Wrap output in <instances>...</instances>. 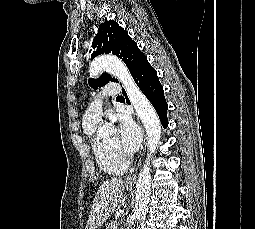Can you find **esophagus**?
I'll return each mask as SVG.
<instances>
[{"label": "esophagus", "instance_id": "esophagus-1", "mask_svg": "<svg viewBox=\"0 0 255 229\" xmlns=\"http://www.w3.org/2000/svg\"><path fill=\"white\" fill-rule=\"evenodd\" d=\"M143 144H144V151H145V147H146V135H145V134H144V142H143ZM144 151H143V154H142V155H144ZM140 165H141V159H140V161H139V163H138V165H137V168H136V170H135V173L129 175V176L126 178L125 183H126L127 185H132V184H134V183L136 182V179H137V171H138V168L140 167Z\"/></svg>", "mask_w": 255, "mask_h": 229}]
</instances>
